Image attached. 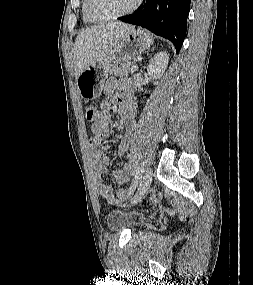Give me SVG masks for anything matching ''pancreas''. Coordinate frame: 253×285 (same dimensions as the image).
Masks as SVG:
<instances>
[{
    "label": "pancreas",
    "mask_w": 253,
    "mask_h": 285,
    "mask_svg": "<svg viewBox=\"0 0 253 285\" xmlns=\"http://www.w3.org/2000/svg\"><path fill=\"white\" fill-rule=\"evenodd\" d=\"M135 65V62H127L123 64H117L110 68V74L115 76H127L129 73H132L131 68Z\"/></svg>",
    "instance_id": "1"
}]
</instances>
